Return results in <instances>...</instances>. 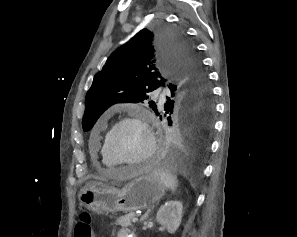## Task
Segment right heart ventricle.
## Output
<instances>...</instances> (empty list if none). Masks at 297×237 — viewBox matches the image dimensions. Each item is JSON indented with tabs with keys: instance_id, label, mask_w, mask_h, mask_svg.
Masks as SVG:
<instances>
[{
	"instance_id": "e07e8e85",
	"label": "right heart ventricle",
	"mask_w": 297,
	"mask_h": 237,
	"mask_svg": "<svg viewBox=\"0 0 297 237\" xmlns=\"http://www.w3.org/2000/svg\"><path fill=\"white\" fill-rule=\"evenodd\" d=\"M100 157L103 165L108 169H115L119 166L107 153L105 149V141H103L100 148Z\"/></svg>"
}]
</instances>
